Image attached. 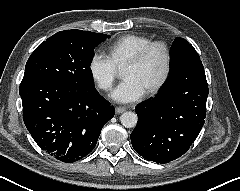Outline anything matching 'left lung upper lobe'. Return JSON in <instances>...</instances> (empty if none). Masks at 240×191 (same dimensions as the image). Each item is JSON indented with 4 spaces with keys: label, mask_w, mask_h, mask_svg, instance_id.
Returning <instances> with one entry per match:
<instances>
[{
    "label": "left lung upper lobe",
    "mask_w": 240,
    "mask_h": 191,
    "mask_svg": "<svg viewBox=\"0 0 240 191\" xmlns=\"http://www.w3.org/2000/svg\"><path fill=\"white\" fill-rule=\"evenodd\" d=\"M170 55H171V70L167 80L162 85V87H164L167 84L170 77L175 75L177 69H179V67L183 64L189 65L196 64L195 66L203 68L200 57L196 50L194 49V47L181 37H178L174 40L170 49Z\"/></svg>",
    "instance_id": "left-lung-upper-lobe-1"
}]
</instances>
